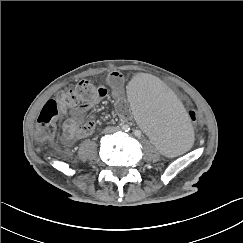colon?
Returning a JSON list of instances; mask_svg holds the SVG:
<instances>
[{"mask_svg": "<svg viewBox=\"0 0 243 243\" xmlns=\"http://www.w3.org/2000/svg\"><path fill=\"white\" fill-rule=\"evenodd\" d=\"M93 83L83 80L75 86L60 91L54 98L48 100L42 107L36 127V135L41 141L51 140L56 133V119L60 112L90 103L98 99ZM191 125L198 127L201 122L198 111L191 106L185 107Z\"/></svg>", "mask_w": 243, "mask_h": 243, "instance_id": "colon-1", "label": "colon"}]
</instances>
